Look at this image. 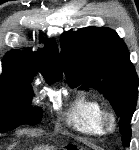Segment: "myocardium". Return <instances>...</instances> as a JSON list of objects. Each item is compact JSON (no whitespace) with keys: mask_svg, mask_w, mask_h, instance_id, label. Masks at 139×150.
<instances>
[{"mask_svg":"<svg viewBox=\"0 0 139 150\" xmlns=\"http://www.w3.org/2000/svg\"><path fill=\"white\" fill-rule=\"evenodd\" d=\"M101 128L106 133H113L117 128V121L114 113L103 110L100 118Z\"/></svg>","mask_w":139,"mask_h":150,"instance_id":"f54148a6","label":"myocardium"}]
</instances>
